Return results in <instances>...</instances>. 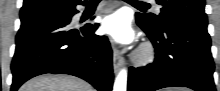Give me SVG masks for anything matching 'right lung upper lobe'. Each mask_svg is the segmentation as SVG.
Masks as SVG:
<instances>
[{
    "mask_svg": "<svg viewBox=\"0 0 220 91\" xmlns=\"http://www.w3.org/2000/svg\"><path fill=\"white\" fill-rule=\"evenodd\" d=\"M81 0H24L20 17L43 12L64 9ZM84 2H87L86 0Z\"/></svg>",
    "mask_w": 220,
    "mask_h": 91,
    "instance_id": "right-lung-upper-lobe-1",
    "label": "right lung upper lobe"
}]
</instances>
